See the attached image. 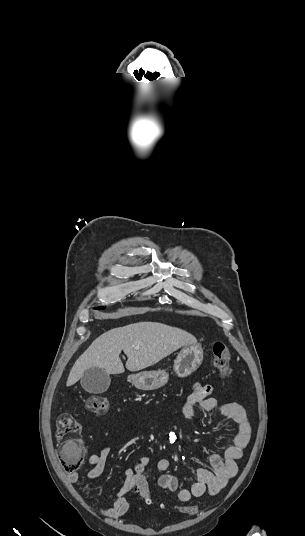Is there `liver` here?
Segmentation results:
<instances>
[{
  "label": "liver",
  "mask_w": 305,
  "mask_h": 536,
  "mask_svg": "<svg viewBox=\"0 0 305 536\" xmlns=\"http://www.w3.org/2000/svg\"><path fill=\"white\" fill-rule=\"evenodd\" d=\"M189 344H197L192 334L157 322H138L124 328H114L96 338L76 360L66 386L76 384L89 368H103L106 374H123L125 370L119 358L122 350L128 358L127 370L138 372L154 366ZM136 346H139V350H134Z\"/></svg>",
  "instance_id": "6515ba94"
}]
</instances>
